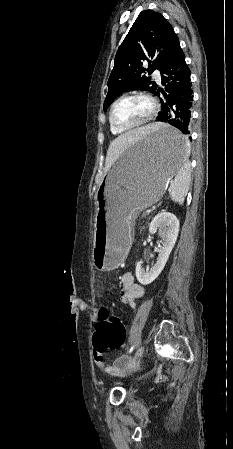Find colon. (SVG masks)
<instances>
[{
  "mask_svg": "<svg viewBox=\"0 0 233 449\" xmlns=\"http://www.w3.org/2000/svg\"><path fill=\"white\" fill-rule=\"evenodd\" d=\"M96 331L93 334L95 351L104 355L107 351L121 348L127 338L126 327L117 315H109L107 310H100Z\"/></svg>",
  "mask_w": 233,
  "mask_h": 449,
  "instance_id": "1",
  "label": "colon"
}]
</instances>
